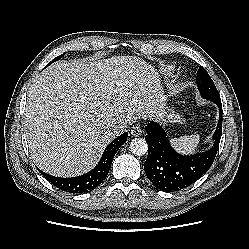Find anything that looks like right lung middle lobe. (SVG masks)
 Wrapping results in <instances>:
<instances>
[{
	"label": "right lung middle lobe",
	"mask_w": 249,
	"mask_h": 249,
	"mask_svg": "<svg viewBox=\"0 0 249 249\" xmlns=\"http://www.w3.org/2000/svg\"><path fill=\"white\" fill-rule=\"evenodd\" d=\"M64 55H65V53H63L62 55H60V56L56 57V58H55V59H53V60H52L49 64H51V63H53V62L57 61L58 59L62 58Z\"/></svg>",
	"instance_id": "obj_1"
}]
</instances>
